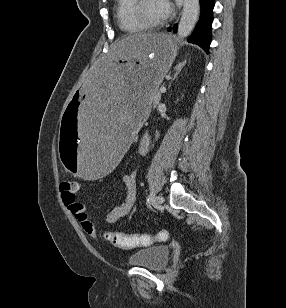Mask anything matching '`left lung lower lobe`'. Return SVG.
<instances>
[{"mask_svg": "<svg viewBox=\"0 0 286 308\" xmlns=\"http://www.w3.org/2000/svg\"><path fill=\"white\" fill-rule=\"evenodd\" d=\"M214 3L215 0H200V18L192 35L188 39L189 42L198 44L207 53L211 42ZM173 30H177V25H174ZM168 31H171V28H168Z\"/></svg>", "mask_w": 286, "mask_h": 308, "instance_id": "obj_1", "label": "left lung lower lobe"}]
</instances>
